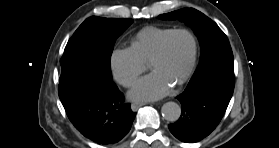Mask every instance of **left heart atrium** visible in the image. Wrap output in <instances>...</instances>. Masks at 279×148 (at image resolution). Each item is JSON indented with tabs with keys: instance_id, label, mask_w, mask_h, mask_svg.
Wrapping results in <instances>:
<instances>
[{
	"instance_id": "obj_1",
	"label": "left heart atrium",
	"mask_w": 279,
	"mask_h": 148,
	"mask_svg": "<svg viewBox=\"0 0 279 148\" xmlns=\"http://www.w3.org/2000/svg\"><path fill=\"white\" fill-rule=\"evenodd\" d=\"M173 83L164 77L151 73L141 78L129 93L133 100L152 101L171 93Z\"/></svg>"
}]
</instances>
